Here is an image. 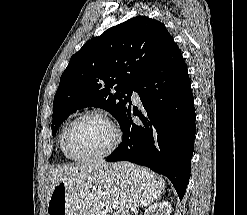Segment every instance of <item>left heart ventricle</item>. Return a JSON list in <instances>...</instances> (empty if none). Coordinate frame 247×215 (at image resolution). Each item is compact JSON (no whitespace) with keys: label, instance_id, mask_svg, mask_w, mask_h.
<instances>
[{"label":"left heart ventricle","instance_id":"1","mask_svg":"<svg viewBox=\"0 0 247 215\" xmlns=\"http://www.w3.org/2000/svg\"><path fill=\"white\" fill-rule=\"evenodd\" d=\"M113 137V130L106 122L97 118H86L74 128L73 149L79 155L97 154L109 147Z\"/></svg>","mask_w":247,"mask_h":215}]
</instances>
